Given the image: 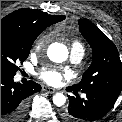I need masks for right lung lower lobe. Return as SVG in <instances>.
<instances>
[{
  "mask_svg": "<svg viewBox=\"0 0 122 122\" xmlns=\"http://www.w3.org/2000/svg\"><path fill=\"white\" fill-rule=\"evenodd\" d=\"M14 75L1 72V122H21L26 114V99L41 90L33 81H13Z\"/></svg>",
  "mask_w": 122,
  "mask_h": 122,
  "instance_id": "right-lung-lower-lobe-1",
  "label": "right lung lower lobe"
}]
</instances>
